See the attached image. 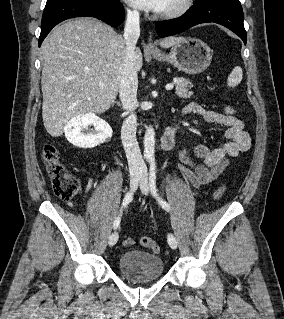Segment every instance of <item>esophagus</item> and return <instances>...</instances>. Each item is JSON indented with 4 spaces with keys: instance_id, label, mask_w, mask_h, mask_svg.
Listing matches in <instances>:
<instances>
[{
    "instance_id": "1",
    "label": "esophagus",
    "mask_w": 284,
    "mask_h": 319,
    "mask_svg": "<svg viewBox=\"0 0 284 319\" xmlns=\"http://www.w3.org/2000/svg\"><path fill=\"white\" fill-rule=\"evenodd\" d=\"M145 49H146L147 51H156V50H157V48H156V46L153 44L151 38L148 39V42H147V44H146V46H145Z\"/></svg>"
}]
</instances>
